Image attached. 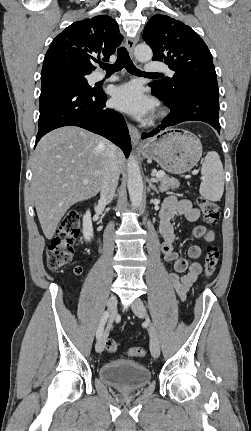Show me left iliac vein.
Wrapping results in <instances>:
<instances>
[{
  "mask_svg": "<svg viewBox=\"0 0 251 431\" xmlns=\"http://www.w3.org/2000/svg\"><path fill=\"white\" fill-rule=\"evenodd\" d=\"M132 311L134 314L140 318L147 317V311L143 301L139 298L135 299L132 303ZM149 335H150V351L152 356L156 359L160 355V345L158 341L157 332L155 326L150 322L149 323Z\"/></svg>",
  "mask_w": 251,
  "mask_h": 431,
  "instance_id": "4c4485c4",
  "label": "left iliac vein"
}]
</instances>
